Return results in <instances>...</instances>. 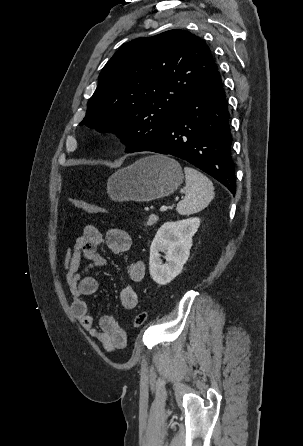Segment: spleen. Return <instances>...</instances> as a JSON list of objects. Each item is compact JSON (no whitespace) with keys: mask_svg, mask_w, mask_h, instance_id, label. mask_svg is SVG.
I'll return each instance as SVG.
<instances>
[{"mask_svg":"<svg viewBox=\"0 0 303 446\" xmlns=\"http://www.w3.org/2000/svg\"><path fill=\"white\" fill-rule=\"evenodd\" d=\"M186 186L181 189L185 194L177 204L180 215H191L203 210L214 198L213 183L204 174L192 167H185Z\"/></svg>","mask_w":303,"mask_h":446,"instance_id":"spleen-1","label":"spleen"}]
</instances>
